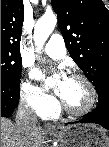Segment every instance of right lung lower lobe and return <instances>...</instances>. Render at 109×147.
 Listing matches in <instances>:
<instances>
[{"instance_id": "98d812e1", "label": "right lung lower lobe", "mask_w": 109, "mask_h": 147, "mask_svg": "<svg viewBox=\"0 0 109 147\" xmlns=\"http://www.w3.org/2000/svg\"><path fill=\"white\" fill-rule=\"evenodd\" d=\"M19 102V85L1 82V116L10 117Z\"/></svg>"}]
</instances>
